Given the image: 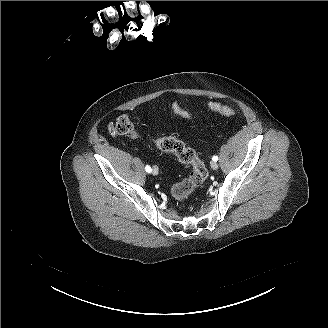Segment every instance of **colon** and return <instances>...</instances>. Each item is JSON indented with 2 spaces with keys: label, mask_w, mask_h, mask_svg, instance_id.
<instances>
[{
  "label": "colon",
  "mask_w": 328,
  "mask_h": 328,
  "mask_svg": "<svg viewBox=\"0 0 328 328\" xmlns=\"http://www.w3.org/2000/svg\"><path fill=\"white\" fill-rule=\"evenodd\" d=\"M171 109L172 112L179 117L186 119L191 118L190 113L187 112L183 105L178 101H174L171 104ZM208 109L211 112L225 117H232L235 115V110L228 105L210 103ZM110 130L112 133L124 135L132 139L142 137V135L135 130L132 119L128 114L120 115ZM151 140L158 149L174 154L182 163L188 164L192 167L189 175L174 184L171 190L172 196L177 201L187 199L207 179L208 171L204 163L192 148L187 147L182 141L176 138L155 136L152 137Z\"/></svg>",
  "instance_id": "5ec220e1"
}]
</instances>
